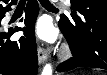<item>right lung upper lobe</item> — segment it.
Wrapping results in <instances>:
<instances>
[{
  "label": "right lung upper lobe",
  "mask_w": 107,
  "mask_h": 75,
  "mask_svg": "<svg viewBox=\"0 0 107 75\" xmlns=\"http://www.w3.org/2000/svg\"><path fill=\"white\" fill-rule=\"evenodd\" d=\"M3 2L8 3L9 0H4ZM11 2H17V0H12ZM5 7L2 6V4H0V11L3 10Z\"/></svg>",
  "instance_id": "cb5924a9"
}]
</instances>
